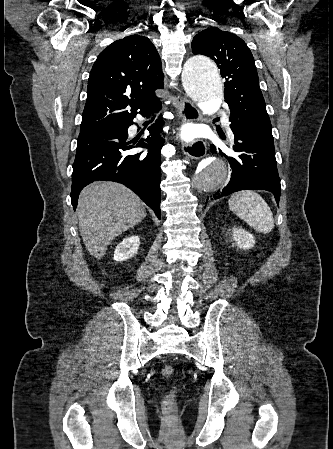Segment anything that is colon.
Masks as SVG:
<instances>
[{"label": "colon", "instance_id": "obj_1", "mask_svg": "<svg viewBox=\"0 0 333 449\" xmlns=\"http://www.w3.org/2000/svg\"><path fill=\"white\" fill-rule=\"evenodd\" d=\"M161 373L164 377L170 378L174 374V369L170 365H165L162 367ZM164 404L168 409H172L175 405V393L172 392L168 394L164 400Z\"/></svg>", "mask_w": 333, "mask_h": 449}]
</instances>
